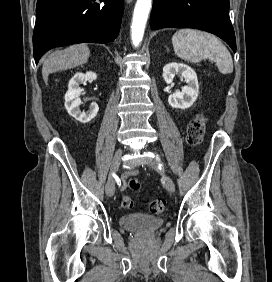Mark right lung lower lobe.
I'll return each mask as SVG.
<instances>
[{
	"label": "right lung lower lobe",
	"instance_id": "1",
	"mask_svg": "<svg viewBox=\"0 0 272 282\" xmlns=\"http://www.w3.org/2000/svg\"><path fill=\"white\" fill-rule=\"evenodd\" d=\"M123 9L124 0H38L33 33L35 62L54 47L114 41Z\"/></svg>",
	"mask_w": 272,
	"mask_h": 282
}]
</instances>
